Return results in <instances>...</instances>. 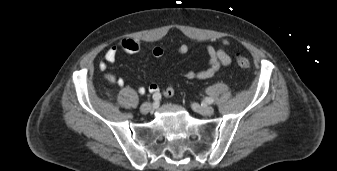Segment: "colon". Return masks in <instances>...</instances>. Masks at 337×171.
Here are the masks:
<instances>
[{
    "mask_svg": "<svg viewBox=\"0 0 337 171\" xmlns=\"http://www.w3.org/2000/svg\"><path fill=\"white\" fill-rule=\"evenodd\" d=\"M235 59H236L238 66H240L241 68L246 69L250 67V60L242 53H237L235 56Z\"/></svg>",
    "mask_w": 337,
    "mask_h": 171,
    "instance_id": "obj_1",
    "label": "colon"
}]
</instances>
